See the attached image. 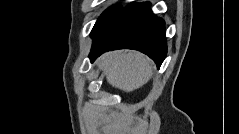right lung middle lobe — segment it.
I'll list each match as a JSON object with an SVG mask.
<instances>
[{"label": "right lung middle lobe", "mask_w": 239, "mask_h": 134, "mask_svg": "<svg viewBox=\"0 0 239 134\" xmlns=\"http://www.w3.org/2000/svg\"><path fill=\"white\" fill-rule=\"evenodd\" d=\"M119 10V7H112L105 11L97 20L94 25L91 35L94 34L115 12Z\"/></svg>", "instance_id": "1"}]
</instances>
